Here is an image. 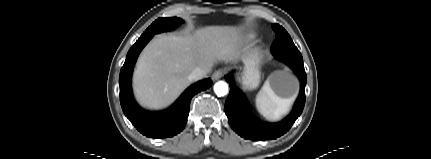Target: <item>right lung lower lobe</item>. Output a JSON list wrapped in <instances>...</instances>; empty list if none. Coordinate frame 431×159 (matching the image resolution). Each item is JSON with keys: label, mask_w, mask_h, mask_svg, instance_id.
<instances>
[{"label": "right lung lower lobe", "mask_w": 431, "mask_h": 159, "mask_svg": "<svg viewBox=\"0 0 431 159\" xmlns=\"http://www.w3.org/2000/svg\"><path fill=\"white\" fill-rule=\"evenodd\" d=\"M152 36H141L126 56L119 78L120 102L125 116L140 133L152 138L172 137L184 129L192 97L200 91L208 89L212 85V81L208 78L193 84L167 110L149 112L141 109L132 95L131 76L140 51Z\"/></svg>", "instance_id": "right-lung-lower-lobe-1"}]
</instances>
